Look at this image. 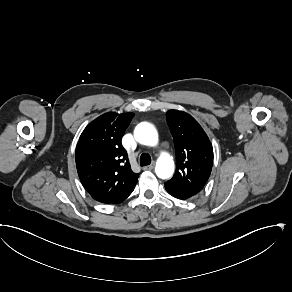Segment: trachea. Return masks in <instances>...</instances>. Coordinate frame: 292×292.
Segmentation results:
<instances>
[{"label":"trachea","mask_w":292,"mask_h":292,"mask_svg":"<svg viewBox=\"0 0 292 292\" xmlns=\"http://www.w3.org/2000/svg\"><path fill=\"white\" fill-rule=\"evenodd\" d=\"M152 159L148 153H143L140 156V166H147L151 163Z\"/></svg>","instance_id":"obj_1"}]
</instances>
